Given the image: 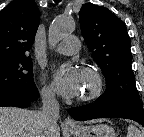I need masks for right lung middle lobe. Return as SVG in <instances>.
<instances>
[{"label": "right lung middle lobe", "mask_w": 144, "mask_h": 137, "mask_svg": "<svg viewBox=\"0 0 144 137\" xmlns=\"http://www.w3.org/2000/svg\"><path fill=\"white\" fill-rule=\"evenodd\" d=\"M13 93L36 99L39 92L33 80L31 58L20 57L0 63V94Z\"/></svg>", "instance_id": "right-lung-middle-lobe-1"}]
</instances>
